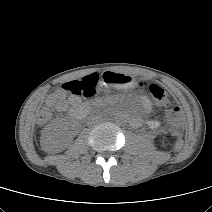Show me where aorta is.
Returning <instances> with one entry per match:
<instances>
[{
  "instance_id": "762f6f07",
  "label": "aorta",
  "mask_w": 212,
  "mask_h": 212,
  "mask_svg": "<svg viewBox=\"0 0 212 212\" xmlns=\"http://www.w3.org/2000/svg\"><path fill=\"white\" fill-rule=\"evenodd\" d=\"M117 121H118V122L121 121V118H117Z\"/></svg>"
}]
</instances>
